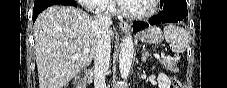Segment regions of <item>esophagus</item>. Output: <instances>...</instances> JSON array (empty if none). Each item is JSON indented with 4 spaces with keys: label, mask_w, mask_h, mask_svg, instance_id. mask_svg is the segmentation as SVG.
I'll return each mask as SVG.
<instances>
[{
    "label": "esophagus",
    "mask_w": 227,
    "mask_h": 88,
    "mask_svg": "<svg viewBox=\"0 0 227 88\" xmlns=\"http://www.w3.org/2000/svg\"><path fill=\"white\" fill-rule=\"evenodd\" d=\"M119 27L123 31H129L131 29L130 24L126 21H121L120 24H119Z\"/></svg>",
    "instance_id": "esophagus-1"
}]
</instances>
